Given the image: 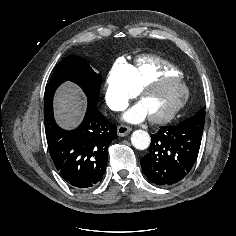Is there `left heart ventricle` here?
Returning <instances> with one entry per match:
<instances>
[{"mask_svg": "<svg viewBox=\"0 0 236 236\" xmlns=\"http://www.w3.org/2000/svg\"><path fill=\"white\" fill-rule=\"evenodd\" d=\"M181 89L176 83L166 82L147 92L141 99L148 115L156 116L167 112L177 101Z\"/></svg>", "mask_w": 236, "mask_h": 236, "instance_id": "1", "label": "left heart ventricle"}]
</instances>
